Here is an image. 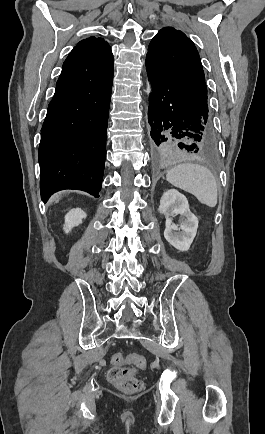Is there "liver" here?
I'll list each match as a JSON object with an SVG mask.
<instances>
[{
  "label": "liver",
  "instance_id": "6515ba94",
  "mask_svg": "<svg viewBox=\"0 0 265 434\" xmlns=\"http://www.w3.org/2000/svg\"><path fill=\"white\" fill-rule=\"evenodd\" d=\"M55 202H56V204H57V202H59V198H58V196H57V198H56Z\"/></svg>",
  "mask_w": 265,
  "mask_h": 434
}]
</instances>
